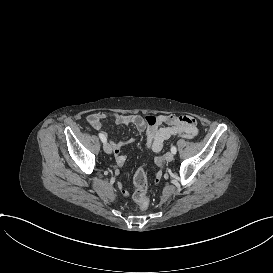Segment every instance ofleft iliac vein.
Returning <instances> with one entry per match:
<instances>
[{"mask_svg": "<svg viewBox=\"0 0 273 273\" xmlns=\"http://www.w3.org/2000/svg\"><path fill=\"white\" fill-rule=\"evenodd\" d=\"M165 159L166 161L170 162L174 159V154L172 152H168L166 155H165Z\"/></svg>", "mask_w": 273, "mask_h": 273, "instance_id": "4c4485c4", "label": "left iliac vein"}]
</instances>
